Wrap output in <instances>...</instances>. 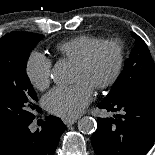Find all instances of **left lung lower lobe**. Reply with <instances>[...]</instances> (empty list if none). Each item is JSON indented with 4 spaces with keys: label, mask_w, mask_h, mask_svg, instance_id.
<instances>
[{
    "label": "left lung lower lobe",
    "mask_w": 155,
    "mask_h": 155,
    "mask_svg": "<svg viewBox=\"0 0 155 155\" xmlns=\"http://www.w3.org/2000/svg\"><path fill=\"white\" fill-rule=\"evenodd\" d=\"M99 108L124 115L99 118L92 136L97 155H146L155 141V84L104 100Z\"/></svg>",
    "instance_id": "obj_1"
}]
</instances>
